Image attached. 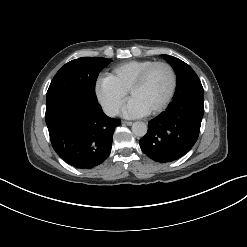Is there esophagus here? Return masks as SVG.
<instances>
[{
	"mask_svg": "<svg viewBox=\"0 0 247 247\" xmlns=\"http://www.w3.org/2000/svg\"><path fill=\"white\" fill-rule=\"evenodd\" d=\"M122 123L123 124H125V125H128V126H131L132 124H133V122H131V121H122Z\"/></svg>",
	"mask_w": 247,
	"mask_h": 247,
	"instance_id": "1",
	"label": "esophagus"
}]
</instances>
